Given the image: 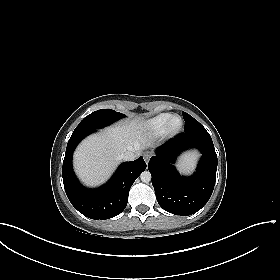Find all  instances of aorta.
<instances>
[{
    "mask_svg": "<svg viewBox=\"0 0 280 280\" xmlns=\"http://www.w3.org/2000/svg\"><path fill=\"white\" fill-rule=\"evenodd\" d=\"M140 179L144 183L150 182L151 181V174H150V172L149 171L142 172L141 175H140Z\"/></svg>",
    "mask_w": 280,
    "mask_h": 280,
    "instance_id": "aorta-1",
    "label": "aorta"
}]
</instances>
